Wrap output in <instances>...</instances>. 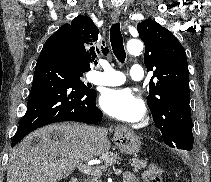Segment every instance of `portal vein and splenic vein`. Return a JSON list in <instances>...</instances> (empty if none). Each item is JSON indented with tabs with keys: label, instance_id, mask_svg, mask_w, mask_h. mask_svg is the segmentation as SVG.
<instances>
[{
	"label": "portal vein and splenic vein",
	"instance_id": "1",
	"mask_svg": "<svg viewBox=\"0 0 211 182\" xmlns=\"http://www.w3.org/2000/svg\"><path fill=\"white\" fill-rule=\"evenodd\" d=\"M79 171H81L82 173H85V174H92L94 172V168H91L89 165L86 166V165H83V164H78L77 165ZM114 172L115 173H121V170L120 169H114Z\"/></svg>",
	"mask_w": 211,
	"mask_h": 182
}]
</instances>
